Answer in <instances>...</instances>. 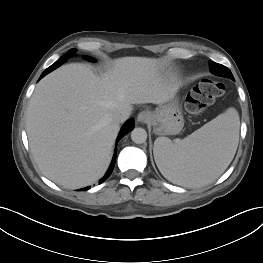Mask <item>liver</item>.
Returning <instances> with one entry per match:
<instances>
[{
  "label": "liver",
  "instance_id": "obj_1",
  "mask_svg": "<svg viewBox=\"0 0 263 263\" xmlns=\"http://www.w3.org/2000/svg\"><path fill=\"white\" fill-rule=\"evenodd\" d=\"M178 88L154 58L115 59L102 76L80 63L61 66L38 83L30 98L26 131L32 156L58 185L93 184L105 174L120 130L113 115H130L133 104L166 103Z\"/></svg>",
  "mask_w": 263,
  "mask_h": 263
}]
</instances>
